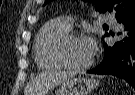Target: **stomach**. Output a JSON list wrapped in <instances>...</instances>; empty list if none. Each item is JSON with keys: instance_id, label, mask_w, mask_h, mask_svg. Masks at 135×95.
<instances>
[{"instance_id": "1", "label": "stomach", "mask_w": 135, "mask_h": 95, "mask_svg": "<svg viewBox=\"0 0 135 95\" xmlns=\"http://www.w3.org/2000/svg\"><path fill=\"white\" fill-rule=\"evenodd\" d=\"M99 86V81L88 77H73L63 82L55 95H89Z\"/></svg>"}]
</instances>
